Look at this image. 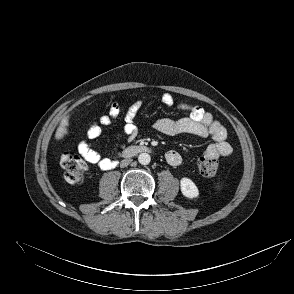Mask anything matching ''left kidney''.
I'll return each mask as SVG.
<instances>
[{"label":"left kidney","mask_w":294,"mask_h":294,"mask_svg":"<svg viewBox=\"0 0 294 294\" xmlns=\"http://www.w3.org/2000/svg\"><path fill=\"white\" fill-rule=\"evenodd\" d=\"M180 186H181V192L185 197L189 199L198 197L199 190L191 179L186 177L182 178L180 180Z\"/></svg>","instance_id":"5707ae66"}]
</instances>
